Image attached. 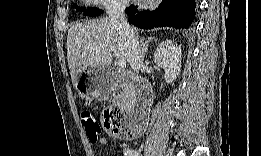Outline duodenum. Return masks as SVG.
Wrapping results in <instances>:
<instances>
[{
	"instance_id": "410a0bca",
	"label": "duodenum",
	"mask_w": 261,
	"mask_h": 156,
	"mask_svg": "<svg viewBox=\"0 0 261 156\" xmlns=\"http://www.w3.org/2000/svg\"><path fill=\"white\" fill-rule=\"evenodd\" d=\"M115 78L121 83H130L131 75L121 69L114 71ZM117 105L129 112L139 125H145L148 121V113L151 106V94L145 81L140 82L135 93L126 98L120 99Z\"/></svg>"
}]
</instances>
